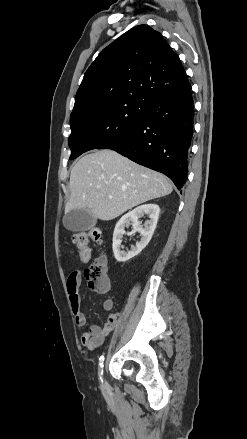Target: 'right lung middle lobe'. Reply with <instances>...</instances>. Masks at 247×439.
<instances>
[{
  "instance_id": "1",
  "label": "right lung middle lobe",
  "mask_w": 247,
  "mask_h": 439,
  "mask_svg": "<svg viewBox=\"0 0 247 439\" xmlns=\"http://www.w3.org/2000/svg\"><path fill=\"white\" fill-rule=\"evenodd\" d=\"M148 106L121 100L95 106L70 117V159L92 149H103L120 140L144 117Z\"/></svg>"
}]
</instances>
